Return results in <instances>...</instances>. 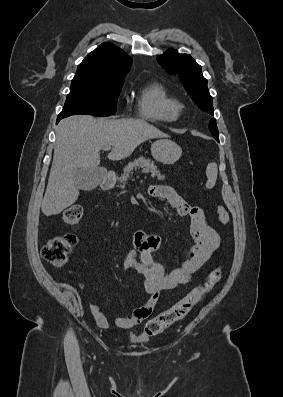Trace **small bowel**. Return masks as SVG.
I'll use <instances>...</instances> for the list:
<instances>
[{
  "label": "small bowel",
  "instance_id": "obj_1",
  "mask_svg": "<svg viewBox=\"0 0 283 397\" xmlns=\"http://www.w3.org/2000/svg\"><path fill=\"white\" fill-rule=\"evenodd\" d=\"M149 194L166 200L179 216L190 219V234L193 242L189 248L188 257L181 265L167 270L162 263L154 259V254L161 248V238L141 230L133 234L134 248L126 254L123 266L126 270L134 271L141 277L148 298L142 306L134 309L130 316L114 318V325L122 329H132L146 320L153 313L161 291L174 289L190 282L220 245V236L208 224L202 208L190 205L169 186H150ZM90 310L100 328L110 327L109 320L99 305L91 304Z\"/></svg>",
  "mask_w": 283,
  "mask_h": 397
}]
</instances>
